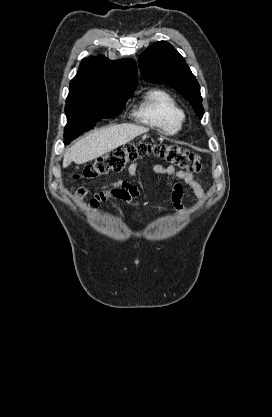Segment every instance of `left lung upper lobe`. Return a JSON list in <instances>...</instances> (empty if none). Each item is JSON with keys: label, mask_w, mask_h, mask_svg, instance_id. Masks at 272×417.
Masks as SVG:
<instances>
[{"label": "left lung upper lobe", "mask_w": 272, "mask_h": 417, "mask_svg": "<svg viewBox=\"0 0 272 417\" xmlns=\"http://www.w3.org/2000/svg\"><path fill=\"white\" fill-rule=\"evenodd\" d=\"M138 65L145 81L176 89L202 118L204 109L198 81L172 45L165 41L154 43L139 56Z\"/></svg>", "instance_id": "obj_1"}]
</instances>
